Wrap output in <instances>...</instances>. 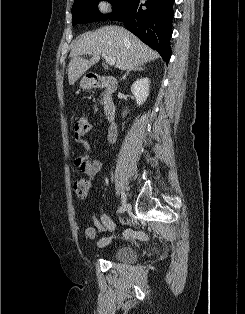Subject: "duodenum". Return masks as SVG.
Returning a JSON list of instances; mask_svg holds the SVG:
<instances>
[{
	"instance_id": "410a0bca",
	"label": "duodenum",
	"mask_w": 245,
	"mask_h": 314,
	"mask_svg": "<svg viewBox=\"0 0 245 314\" xmlns=\"http://www.w3.org/2000/svg\"><path fill=\"white\" fill-rule=\"evenodd\" d=\"M93 88H104L108 93L115 90L116 78L112 75H93L90 79ZM104 113L111 127L115 124L116 106L111 99H107L104 105Z\"/></svg>"
}]
</instances>
